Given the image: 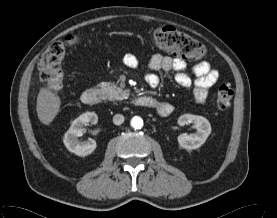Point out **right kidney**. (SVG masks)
<instances>
[{"label": "right kidney", "mask_w": 277, "mask_h": 218, "mask_svg": "<svg viewBox=\"0 0 277 218\" xmlns=\"http://www.w3.org/2000/svg\"><path fill=\"white\" fill-rule=\"evenodd\" d=\"M97 121L98 116L95 112H86L77 117L64 135L63 142L66 148L78 156L85 157L91 154L97 147L96 141H80L78 138L83 135L84 126L89 123L96 124Z\"/></svg>", "instance_id": "ca27d5eb"}]
</instances>
